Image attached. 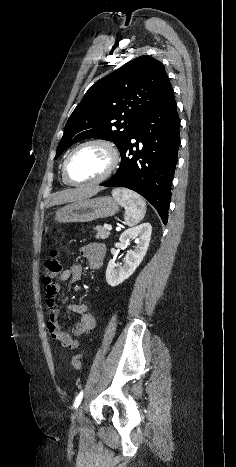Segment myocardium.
<instances>
[{"instance_id":"myocardium-1","label":"myocardium","mask_w":236,"mask_h":467,"mask_svg":"<svg viewBox=\"0 0 236 467\" xmlns=\"http://www.w3.org/2000/svg\"><path fill=\"white\" fill-rule=\"evenodd\" d=\"M87 146H100L103 149H105L109 155V165L106 171L98 178L91 180V181L78 182V181H75L71 177L70 171H69V165L74 154L80 149L87 147ZM120 161H121L120 152L117 146L112 141L105 139V138H95V139L87 140L77 145L66 157L64 164H63V169H62L63 177L68 184L73 185V186H88V185L98 184V183H101L107 180L117 170V168L119 167Z\"/></svg>"}]
</instances>
